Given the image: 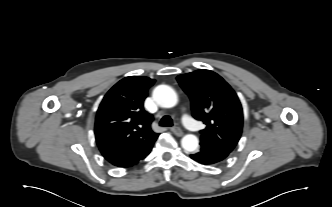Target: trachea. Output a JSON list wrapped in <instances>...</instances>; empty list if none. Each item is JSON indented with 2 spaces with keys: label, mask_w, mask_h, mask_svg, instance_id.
<instances>
[{
  "label": "trachea",
  "mask_w": 332,
  "mask_h": 207,
  "mask_svg": "<svg viewBox=\"0 0 332 207\" xmlns=\"http://www.w3.org/2000/svg\"><path fill=\"white\" fill-rule=\"evenodd\" d=\"M159 124H160V126H163V127H171V126H173V121L170 116L165 115L162 117Z\"/></svg>",
  "instance_id": "1"
}]
</instances>
